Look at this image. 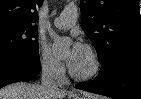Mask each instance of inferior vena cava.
<instances>
[{
    "instance_id": "1",
    "label": "inferior vena cava",
    "mask_w": 141,
    "mask_h": 99,
    "mask_svg": "<svg viewBox=\"0 0 141 99\" xmlns=\"http://www.w3.org/2000/svg\"><path fill=\"white\" fill-rule=\"evenodd\" d=\"M56 68L54 65L45 64L42 67L41 86L46 90H56L55 82Z\"/></svg>"
}]
</instances>
